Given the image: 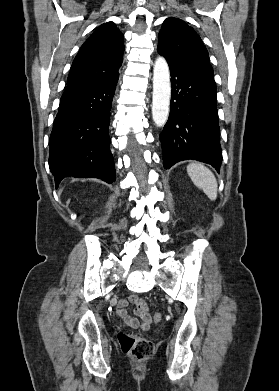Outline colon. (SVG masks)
Instances as JSON below:
<instances>
[{"label":"colon","mask_w":279,"mask_h":391,"mask_svg":"<svg viewBox=\"0 0 279 391\" xmlns=\"http://www.w3.org/2000/svg\"><path fill=\"white\" fill-rule=\"evenodd\" d=\"M153 319L155 322H160L162 320V314H154ZM118 340L123 352L137 360H145L150 358L155 350L153 343L143 337L127 333H119Z\"/></svg>","instance_id":"obj_1"}]
</instances>
